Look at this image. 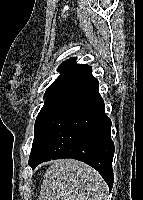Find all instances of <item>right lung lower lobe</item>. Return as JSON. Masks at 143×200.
Masks as SVG:
<instances>
[{
    "instance_id": "obj_1",
    "label": "right lung lower lobe",
    "mask_w": 143,
    "mask_h": 200,
    "mask_svg": "<svg viewBox=\"0 0 143 200\" xmlns=\"http://www.w3.org/2000/svg\"><path fill=\"white\" fill-rule=\"evenodd\" d=\"M99 83L90 66L63 80L46 98L35 122L29 165L73 158L95 168L112 189L114 143Z\"/></svg>"
}]
</instances>
